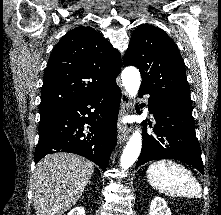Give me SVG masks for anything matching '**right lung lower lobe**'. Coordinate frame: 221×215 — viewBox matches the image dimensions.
I'll use <instances>...</instances> for the list:
<instances>
[{"mask_svg":"<svg viewBox=\"0 0 221 215\" xmlns=\"http://www.w3.org/2000/svg\"><path fill=\"white\" fill-rule=\"evenodd\" d=\"M120 101L115 82L62 108L40 113L35 163L50 153L70 152L105 171L116 144Z\"/></svg>","mask_w":221,"mask_h":215,"instance_id":"98d812e1","label":"right lung lower lobe"}]
</instances>
